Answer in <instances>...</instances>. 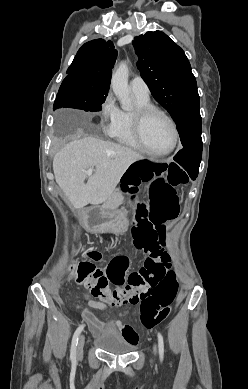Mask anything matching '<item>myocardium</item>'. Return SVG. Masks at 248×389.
I'll return each mask as SVG.
<instances>
[{
    "instance_id": "f54148a6",
    "label": "myocardium",
    "mask_w": 248,
    "mask_h": 389,
    "mask_svg": "<svg viewBox=\"0 0 248 389\" xmlns=\"http://www.w3.org/2000/svg\"><path fill=\"white\" fill-rule=\"evenodd\" d=\"M154 114H158V115H161L162 117H164L169 122V124L172 128V132H173V142H172L171 147L169 149H167L165 151H161V152H156V151L151 150L147 146V144L145 143V140L143 137L144 125H145L147 119ZM132 120H133L134 136H135L137 142L139 143V145L141 146L142 150L144 152H146L147 154H149L151 156H155V157H163V156L169 155L170 153H172L176 149L178 141H179V132H178L176 122L169 114H167L162 109H160L156 106H153V105L137 107L136 110L132 114Z\"/></svg>"
}]
</instances>
